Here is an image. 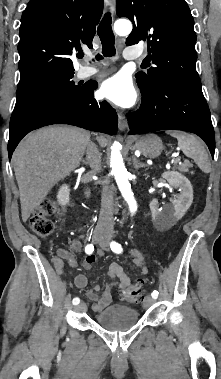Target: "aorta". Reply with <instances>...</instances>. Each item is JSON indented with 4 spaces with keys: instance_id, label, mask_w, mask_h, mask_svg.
Here are the masks:
<instances>
[{
    "instance_id": "obj_1",
    "label": "aorta",
    "mask_w": 221,
    "mask_h": 379,
    "mask_svg": "<svg viewBox=\"0 0 221 379\" xmlns=\"http://www.w3.org/2000/svg\"><path fill=\"white\" fill-rule=\"evenodd\" d=\"M116 34L125 36L131 33L132 24L128 20H117L114 24ZM121 145L119 142H114L111 147L110 167L114 174L119 190L129 205L130 212L134 214L137 211V203L134 199V194L131 190V185L128 180V172L125 168L122 154L120 152Z\"/></svg>"
}]
</instances>
